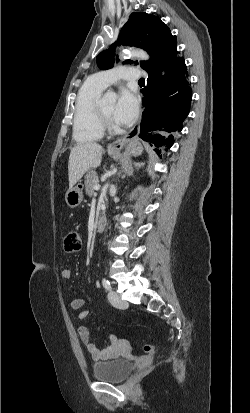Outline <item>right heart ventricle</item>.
<instances>
[{
	"label": "right heart ventricle",
	"instance_id": "obj_1",
	"mask_svg": "<svg viewBox=\"0 0 250 413\" xmlns=\"http://www.w3.org/2000/svg\"><path fill=\"white\" fill-rule=\"evenodd\" d=\"M102 91V88L88 79L78 92L73 120V138L77 143L98 141L104 135L96 102Z\"/></svg>",
	"mask_w": 250,
	"mask_h": 413
}]
</instances>
